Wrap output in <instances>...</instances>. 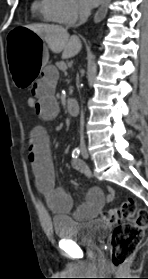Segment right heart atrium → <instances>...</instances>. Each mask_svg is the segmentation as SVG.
Returning a JSON list of instances; mask_svg holds the SVG:
<instances>
[{"label":"right heart atrium","instance_id":"right-heart-atrium-1","mask_svg":"<svg viewBox=\"0 0 148 279\" xmlns=\"http://www.w3.org/2000/svg\"><path fill=\"white\" fill-rule=\"evenodd\" d=\"M54 9L62 23L72 24L84 13L76 0H53Z\"/></svg>","mask_w":148,"mask_h":279}]
</instances>
